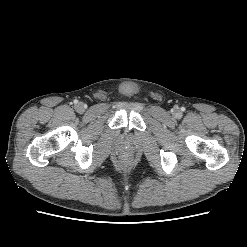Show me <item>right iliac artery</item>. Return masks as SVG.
I'll list each match as a JSON object with an SVG mask.
<instances>
[{
  "instance_id": "1",
  "label": "right iliac artery",
  "mask_w": 247,
  "mask_h": 247,
  "mask_svg": "<svg viewBox=\"0 0 247 247\" xmlns=\"http://www.w3.org/2000/svg\"><path fill=\"white\" fill-rule=\"evenodd\" d=\"M77 102H78L77 100L74 101V103H77Z\"/></svg>"
}]
</instances>
